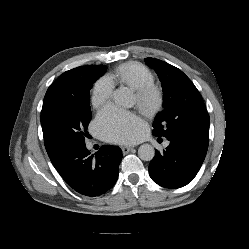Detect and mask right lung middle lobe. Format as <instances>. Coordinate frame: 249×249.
Wrapping results in <instances>:
<instances>
[{"mask_svg": "<svg viewBox=\"0 0 249 249\" xmlns=\"http://www.w3.org/2000/svg\"><path fill=\"white\" fill-rule=\"evenodd\" d=\"M106 70L104 65L82 66L78 76L42 110L41 125L47 152L63 145L85 143L92 115L89 91Z\"/></svg>", "mask_w": 249, "mask_h": 249, "instance_id": "obj_1", "label": "right lung middle lobe"}]
</instances>
